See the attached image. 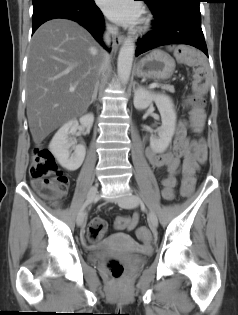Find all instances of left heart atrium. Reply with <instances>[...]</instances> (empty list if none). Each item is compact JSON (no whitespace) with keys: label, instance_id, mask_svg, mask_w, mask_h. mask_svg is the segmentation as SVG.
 <instances>
[{"label":"left heart atrium","instance_id":"39dd6f15","mask_svg":"<svg viewBox=\"0 0 238 315\" xmlns=\"http://www.w3.org/2000/svg\"><path fill=\"white\" fill-rule=\"evenodd\" d=\"M98 4L110 20L123 26L136 25L142 14L140 4L134 0H98Z\"/></svg>","mask_w":238,"mask_h":315}]
</instances>
